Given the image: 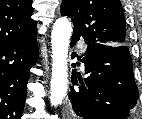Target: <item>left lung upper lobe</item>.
<instances>
[{
    "label": "left lung upper lobe",
    "mask_w": 142,
    "mask_h": 119,
    "mask_svg": "<svg viewBox=\"0 0 142 119\" xmlns=\"http://www.w3.org/2000/svg\"><path fill=\"white\" fill-rule=\"evenodd\" d=\"M61 14L72 19L73 34L87 44H126L124 12L119 0H63Z\"/></svg>",
    "instance_id": "left-lung-upper-lobe-1"
}]
</instances>
